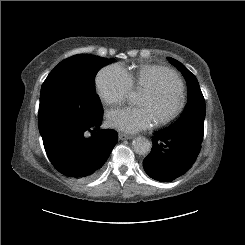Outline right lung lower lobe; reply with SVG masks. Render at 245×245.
<instances>
[{"label":"right lung lower lobe","mask_w":245,"mask_h":245,"mask_svg":"<svg viewBox=\"0 0 245 245\" xmlns=\"http://www.w3.org/2000/svg\"><path fill=\"white\" fill-rule=\"evenodd\" d=\"M101 122L99 117L86 126L61 128L43 139L47 156L60 173L77 180L98 175L118 141L116 132L99 130Z\"/></svg>","instance_id":"obj_1"}]
</instances>
